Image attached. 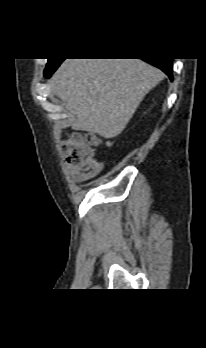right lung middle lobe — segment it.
Returning <instances> with one entry per match:
<instances>
[{
    "label": "right lung middle lobe",
    "mask_w": 206,
    "mask_h": 348,
    "mask_svg": "<svg viewBox=\"0 0 206 348\" xmlns=\"http://www.w3.org/2000/svg\"><path fill=\"white\" fill-rule=\"evenodd\" d=\"M59 60L61 61V60H63V59H48V63H47L46 68H49V67H51V66L57 64V62H58Z\"/></svg>",
    "instance_id": "1"
}]
</instances>
